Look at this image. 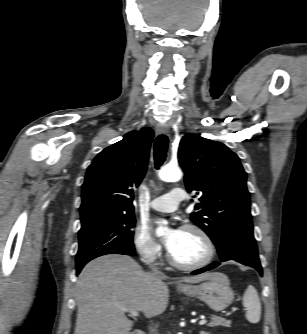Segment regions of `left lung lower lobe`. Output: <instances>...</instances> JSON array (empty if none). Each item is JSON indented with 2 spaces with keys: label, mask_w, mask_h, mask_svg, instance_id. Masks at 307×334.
Listing matches in <instances>:
<instances>
[{
  "label": "left lung lower lobe",
  "mask_w": 307,
  "mask_h": 334,
  "mask_svg": "<svg viewBox=\"0 0 307 334\" xmlns=\"http://www.w3.org/2000/svg\"><path fill=\"white\" fill-rule=\"evenodd\" d=\"M218 253L221 261H236L254 267L261 275L263 273L253 233L236 232L228 235L226 242ZM218 265H220L219 262H213L207 267L192 272V274L196 275L209 271Z\"/></svg>",
  "instance_id": "0a47b994"
}]
</instances>
